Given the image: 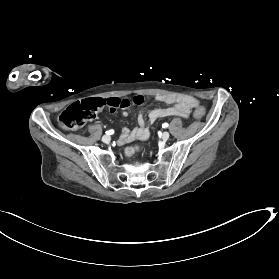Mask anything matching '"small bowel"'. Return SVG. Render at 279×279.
Masks as SVG:
<instances>
[{"label":"small bowel","instance_id":"obj_1","mask_svg":"<svg viewBox=\"0 0 279 279\" xmlns=\"http://www.w3.org/2000/svg\"><path fill=\"white\" fill-rule=\"evenodd\" d=\"M156 99L160 102H164L169 105L166 108H157L149 112V120L151 123L156 120L169 116H180L182 118H188L190 110L193 107L192 101L195 100L191 97L174 98L167 95H158ZM124 117L128 116V113L124 111L122 113ZM139 126L135 129L123 128L119 137V144H125L135 139L147 140L150 137V131L145 127V121L143 118V112H138Z\"/></svg>","mask_w":279,"mask_h":279}]
</instances>
